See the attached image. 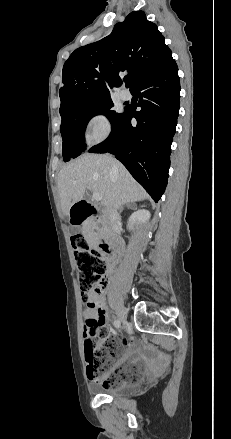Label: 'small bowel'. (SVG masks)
Instances as JSON below:
<instances>
[{"instance_id":"small-bowel-1","label":"small bowel","mask_w":231,"mask_h":439,"mask_svg":"<svg viewBox=\"0 0 231 439\" xmlns=\"http://www.w3.org/2000/svg\"><path fill=\"white\" fill-rule=\"evenodd\" d=\"M90 301L95 304V306H91L88 304L86 310L84 311V318H85V324H84V343L86 344H99L101 342L100 339L94 340V336L96 335L98 329L102 326H104L107 322V312L105 307V300L103 296V290L101 292H95L91 295ZM126 341V344L124 346L125 352L118 364L115 366L113 371L124 368L127 364L128 360L137 354V349L132 342V340H129L128 338H124ZM143 358L149 359L147 355H143ZM150 360V368H154L155 362L153 359Z\"/></svg>"}]
</instances>
